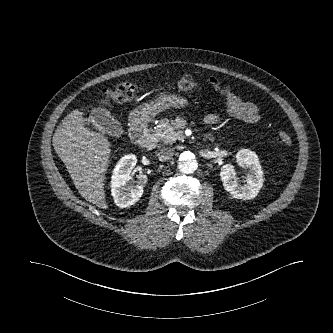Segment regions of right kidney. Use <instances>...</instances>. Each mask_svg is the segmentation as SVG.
<instances>
[{"label":"right kidney","instance_id":"ca27d5eb","mask_svg":"<svg viewBox=\"0 0 333 333\" xmlns=\"http://www.w3.org/2000/svg\"><path fill=\"white\" fill-rule=\"evenodd\" d=\"M135 155H125L116 164L112 179L111 193L115 204L120 208L129 207L135 204L143 194V188L147 182L145 175H140L136 185H127L130 180V173L136 165Z\"/></svg>","mask_w":333,"mask_h":333}]
</instances>
